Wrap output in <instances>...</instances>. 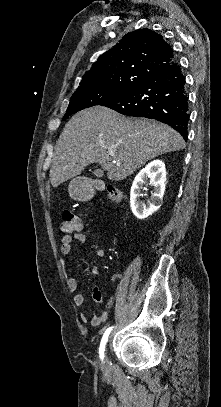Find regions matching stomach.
I'll return each mask as SVG.
<instances>
[{
  "label": "stomach",
  "instance_id": "obj_1",
  "mask_svg": "<svg viewBox=\"0 0 221 407\" xmlns=\"http://www.w3.org/2000/svg\"><path fill=\"white\" fill-rule=\"evenodd\" d=\"M69 193L73 199L79 201L87 200L89 197L88 190L81 178H75L70 182Z\"/></svg>",
  "mask_w": 221,
  "mask_h": 407
}]
</instances>
